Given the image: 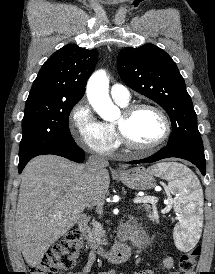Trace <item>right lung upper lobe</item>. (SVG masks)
I'll return each instance as SVG.
<instances>
[{"label":"right lung upper lobe","mask_w":215,"mask_h":274,"mask_svg":"<svg viewBox=\"0 0 215 274\" xmlns=\"http://www.w3.org/2000/svg\"><path fill=\"white\" fill-rule=\"evenodd\" d=\"M97 59L95 49L88 50L76 44L62 47L43 64L26 102L77 103L84 95Z\"/></svg>","instance_id":"1"}]
</instances>
